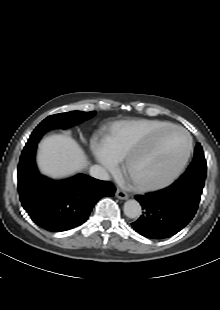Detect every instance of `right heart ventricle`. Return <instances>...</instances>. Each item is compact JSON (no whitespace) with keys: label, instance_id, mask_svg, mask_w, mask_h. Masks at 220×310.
I'll list each match as a JSON object with an SVG mask.
<instances>
[{"label":"right heart ventricle","instance_id":"e07e8e85","mask_svg":"<svg viewBox=\"0 0 220 310\" xmlns=\"http://www.w3.org/2000/svg\"><path fill=\"white\" fill-rule=\"evenodd\" d=\"M168 125L170 124L167 122L157 120L121 123L115 126L111 135L101 142V147L112 160L119 162L152 134Z\"/></svg>","mask_w":220,"mask_h":310}]
</instances>
